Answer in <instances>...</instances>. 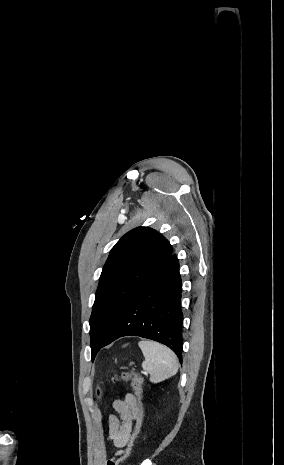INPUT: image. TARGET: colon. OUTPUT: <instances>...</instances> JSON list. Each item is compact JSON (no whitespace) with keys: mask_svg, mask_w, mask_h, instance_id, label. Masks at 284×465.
Segmentation results:
<instances>
[{"mask_svg":"<svg viewBox=\"0 0 284 465\" xmlns=\"http://www.w3.org/2000/svg\"><path fill=\"white\" fill-rule=\"evenodd\" d=\"M113 382H122V381H127L131 380L132 381V388L135 393V395L140 398L142 396V377L131 371H125L121 373L114 374L111 378ZM140 409V406H139ZM141 429V413L136 420L135 428L132 433V435L129 437V439L126 441V444L123 446L124 453H122L121 457H115L114 461L115 462H107L106 465H124V462H130V458H133V454H135V449H130L135 446V444L138 442V434ZM127 454V455H126ZM127 456V457H126Z\"/></svg>","mask_w":284,"mask_h":465,"instance_id":"1","label":"colon"}]
</instances>
